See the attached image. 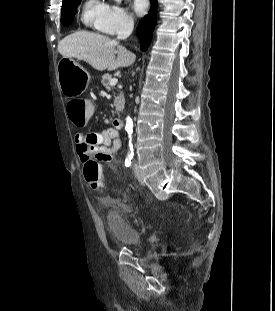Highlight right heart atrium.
Masks as SVG:
<instances>
[{"instance_id": "right-heart-atrium-1", "label": "right heart atrium", "mask_w": 275, "mask_h": 311, "mask_svg": "<svg viewBox=\"0 0 275 311\" xmlns=\"http://www.w3.org/2000/svg\"><path fill=\"white\" fill-rule=\"evenodd\" d=\"M134 20L128 10L121 5H108L99 23V30L108 35L125 33L133 28Z\"/></svg>"}]
</instances>
